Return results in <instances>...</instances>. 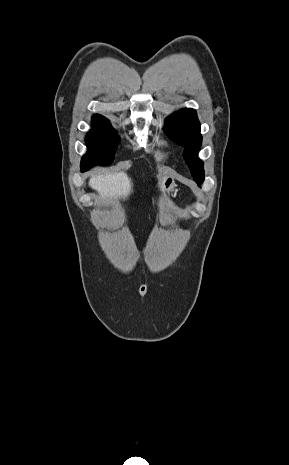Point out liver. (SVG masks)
Masks as SVG:
<instances>
[{
    "label": "liver",
    "mask_w": 289,
    "mask_h": 465,
    "mask_svg": "<svg viewBox=\"0 0 289 465\" xmlns=\"http://www.w3.org/2000/svg\"><path fill=\"white\" fill-rule=\"evenodd\" d=\"M89 186L98 191L101 200L110 203L118 197L125 199L132 192L131 179L124 172L94 176Z\"/></svg>",
    "instance_id": "6515ba94"
}]
</instances>
